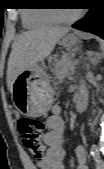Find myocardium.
<instances>
[{"label": "myocardium", "instance_id": "obj_1", "mask_svg": "<svg viewBox=\"0 0 104 169\" xmlns=\"http://www.w3.org/2000/svg\"><path fill=\"white\" fill-rule=\"evenodd\" d=\"M50 15L53 17V19L56 22H59V23H72L82 15V11L78 10L73 15L68 16V17H64V16L60 15L59 11L51 10L50 11Z\"/></svg>", "mask_w": 104, "mask_h": 169}]
</instances>
